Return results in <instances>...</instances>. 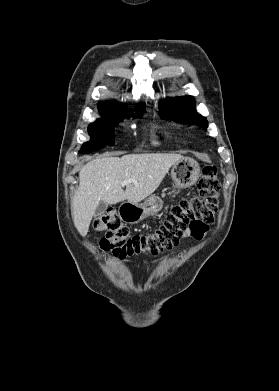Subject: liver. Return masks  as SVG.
<instances>
[{
    "instance_id": "1",
    "label": "liver",
    "mask_w": 279,
    "mask_h": 391,
    "mask_svg": "<svg viewBox=\"0 0 279 391\" xmlns=\"http://www.w3.org/2000/svg\"><path fill=\"white\" fill-rule=\"evenodd\" d=\"M184 158L180 154L145 153L122 157L106 156L89 161L79 173V187L72 202L73 222L86 236L95 210L104 201L116 204L127 200L137 204L150 196L169 169ZM124 180L135 182L122 189Z\"/></svg>"
}]
</instances>
